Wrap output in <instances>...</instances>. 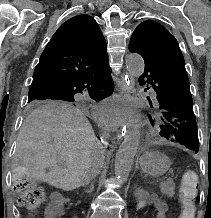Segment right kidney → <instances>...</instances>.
I'll list each match as a JSON object with an SVG mask.
<instances>
[{
	"label": "right kidney",
	"instance_id": "1",
	"mask_svg": "<svg viewBox=\"0 0 211 218\" xmlns=\"http://www.w3.org/2000/svg\"><path fill=\"white\" fill-rule=\"evenodd\" d=\"M50 198H54V201H48V206L44 209L46 218H64L67 198L63 197V193H50Z\"/></svg>",
	"mask_w": 211,
	"mask_h": 218
}]
</instances>
